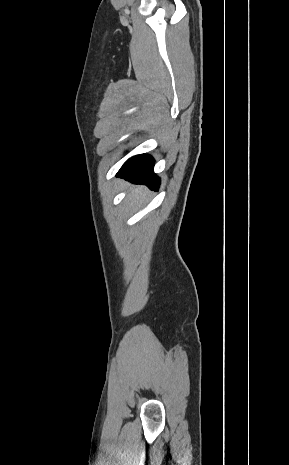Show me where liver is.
<instances>
[{"label": "liver", "instance_id": "liver-1", "mask_svg": "<svg viewBox=\"0 0 289 465\" xmlns=\"http://www.w3.org/2000/svg\"><path fill=\"white\" fill-rule=\"evenodd\" d=\"M135 191L139 193V191H138L137 189H135ZM140 194H141V193H140Z\"/></svg>", "mask_w": 289, "mask_h": 465}]
</instances>
